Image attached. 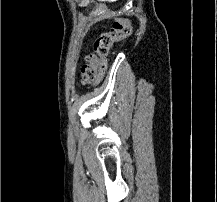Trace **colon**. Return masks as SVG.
Wrapping results in <instances>:
<instances>
[{
	"instance_id": "1",
	"label": "colon",
	"mask_w": 217,
	"mask_h": 202,
	"mask_svg": "<svg viewBox=\"0 0 217 202\" xmlns=\"http://www.w3.org/2000/svg\"><path fill=\"white\" fill-rule=\"evenodd\" d=\"M131 22L126 17H117L108 31L98 36L91 52L84 56V64L80 68V79L83 83L95 79V70L98 76L92 85H98L106 69V57L113 44L123 41L130 35ZM91 84V83H90Z\"/></svg>"
}]
</instances>
